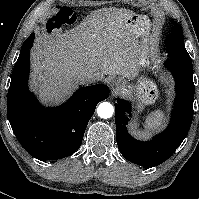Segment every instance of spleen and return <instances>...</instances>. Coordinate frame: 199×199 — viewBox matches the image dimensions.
Instances as JSON below:
<instances>
[{
    "label": "spleen",
    "instance_id": "obj_1",
    "mask_svg": "<svg viewBox=\"0 0 199 199\" xmlns=\"http://www.w3.org/2000/svg\"><path fill=\"white\" fill-rule=\"evenodd\" d=\"M165 122V115L162 110L152 111L145 119L144 127L146 131L158 130Z\"/></svg>",
    "mask_w": 199,
    "mask_h": 199
}]
</instances>
